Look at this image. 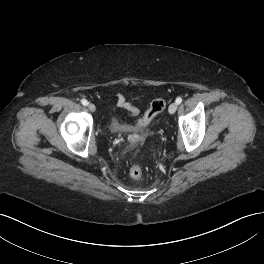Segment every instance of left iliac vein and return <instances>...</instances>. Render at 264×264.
<instances>
[{
  "mask_svg": "<svg viewBox=\"0 0 264 264\" xmlns=\"http://www.w3.org/2000/svg\"><path fill=\"white\" fill-rule=\"evenodd\" d=\"M177 108H178V104L177 103H171L170 106H169L168 111H169L170 114H174L176 112Z\"/></svg>",
  "mask_w": 264,
  "mask_h": 264,
  "instance_id": "4c4485c4",
  "label": "left iliac vein"
}]
</instances>
